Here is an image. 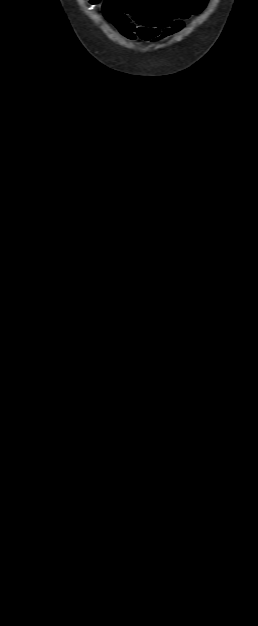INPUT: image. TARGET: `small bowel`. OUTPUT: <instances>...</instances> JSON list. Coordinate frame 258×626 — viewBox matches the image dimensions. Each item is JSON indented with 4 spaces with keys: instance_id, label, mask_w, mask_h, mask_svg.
I'll return each instance as SVG.
<instances>
[{
    "instance_id": "small-bowel-1",
    "label": "small bowel",
    "mask_w": 258,
    "mask_h": 626,
    "mask_svg": "<svg viewBox=\"0 0 258 626\" xmlns=\"http://www.w3.org/2000/svg\"><path fill=\"white\" fill-rule=\"evenodd\" d=\"M206 4L207 0H178L174 5H166L157 13L154 16V24L135 25L127 10L116 8L115 0L104 2V14L127 38L158 42L181 31L185 20L201 12Z\"/></svg>"
}]
</instances>
